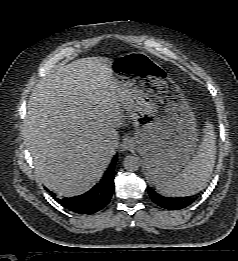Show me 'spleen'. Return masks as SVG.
<instances>
[{"label":"spleen","mask_w":238,"mask_h":261,"mask_svg":"<svg viewBox=\"0 0 238 261\" xmlns=\"http://www.w3.org/2000/svg\"><path fill=\"white\" fill-rule=\"evenodd\" d=\"M198 153L188 162L184 169L158 185L159 191L166 196H190L203 190L212 174L216 159V135L213 125L207 121Z\"/></svg>","instance_id":"spleen-1"}]
</instances>
